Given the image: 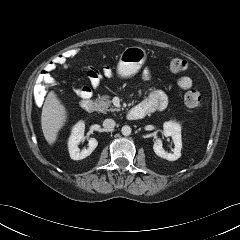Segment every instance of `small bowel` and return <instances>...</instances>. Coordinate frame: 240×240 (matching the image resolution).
I'll return each mask as SVG.
<instances>
[{
    "instance_id": "small-bowel-1",
    "label": "small bowel",
    "mask_w": 240,
    "mask_h": 240,
    "mask_svg": "<svg viewBox=\"0 0 240 240\" xmlns=\"http://www.w3.org/2000/svg\"><path fill=\"white\" fill-rule=\"evenodd\" d=\"M66 65L60 61L56 56L49 61L44 69L39 73L36 79L37 84L55 85L56 80L54 72L57 67ZM114 76V71L107 65H103L101 69L92 68L89 80L93 89H98L102 78H111ZM151 77V71L149 68H144L142 71V78L148 80ZM178 87L187 90L192 86V80L189 77H182L177 82ZM78 94L83 98H90L92 96V89L88 86H84L78 89ZM168 105V96L161 90H153L139 105L138 107L145 111L146 114L164 110Z\"/></svg>"
}]
</instances>
